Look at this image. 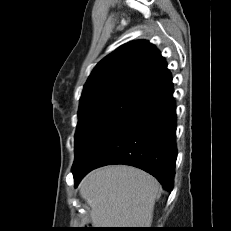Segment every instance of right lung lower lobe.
<instances>
[{
	"instance_id": "98d812e1",
	"label": "right lung lower lobe",
	"mask_w": 231,
	"mask_h": 231,
	"mask_svg": "<svg viewBox=\"0 0 231 231\" xmlns=\"http://www.w3.org/2000/svg\"><path fill=\"white\" fill-rule=\"evenodd\" d=\"M176 104L173 92L151 100L101 142L72 170L75 186L91 170L110 164L138 167L153 175L167 190L174 184Z\"/></svg>"
}]
</instances>
